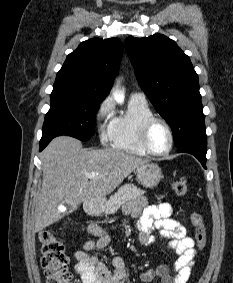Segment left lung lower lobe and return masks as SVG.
I'll list each match as a JSON object with an SVG mask.
<instances>
[{
	"label": "left lung lower lobe",
	"mask_w": 233,
	"mask_h": 283,
	"mask_svg": "<svg viewBox=\"0 0 233 283\" xmlns=\"http://www.w3.org/2000/svg\"><path fill=\"white\" fill-rule=\"evenodd\" d=\"M178 152H186L194 155L206 168L207 142H193L178 148Z\"/></svg>",
	"instance_id": "0a47b994"
}]
</instances>
